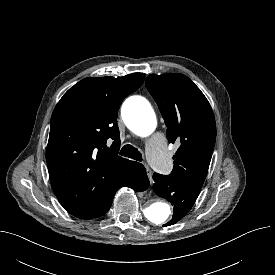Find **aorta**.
I'll list each match as a JSON object with an SVG mask.
<instances>
[{
  "label": "aorta",
  "instance_id": "1",
  "mask_svg": "<svg viewBox=\"0 0 275 275\" xmlns=\"http://www.w3.org/2000/svg\"><path fill=\"white\" fill-rule=\"evenodd\" d=\"M122 118L127 127L139 136H148L157 127L155 111L149 101L140 96L128 98L122 106ZM172 215L169 204L153 202L144 209V216L154 226L166 224Z\"/></svg>",
  "mask_w": 275,
  "mask_h": 275
}]
</instances>
